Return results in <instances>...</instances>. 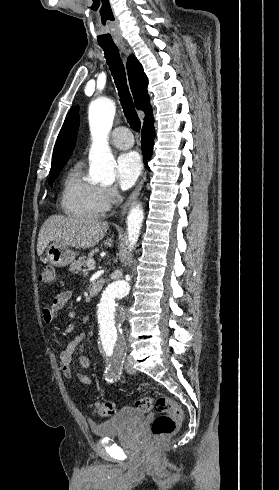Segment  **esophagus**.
<instances>
[{
  "instance_id": "esophagus-1",
  "label": "esophagus",
  "mask_w": 279,
  "mask_h": 490,
  "mask_svg": "<svg viewBox=\"0 0 279 490\" xmlns=\"http://www.w3.org/2000/svg\"><path fill=\"white\" fill-rule=\"evenodd\" d=\"M120 48L126 57L130 54V50L127 49L126 45H120ZM145 177H146V171L144 172L142 179L140 180L139 184L137 185V187L135 188L133 193L130 195V197L124 203V205L121 209V212H120V216L124 215L127 208L136 202V200H137V198H138V196L142 190V186H143V183L145 181Z\"/></svg>"
}]
</instances>
